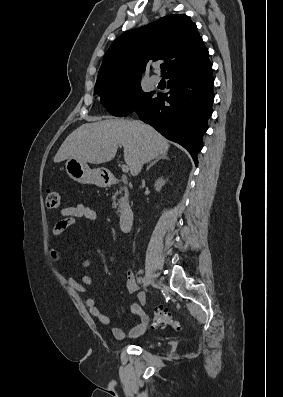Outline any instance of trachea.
Instances as JSON below:
<instances>
[{"label":"trachea","mask_w":283,"mask_h":397,"mask_svg":"<svg viewBox=\"0 0 283 397\" xmlns=\"http://www.w3.org/2000/svg\"><path fill=\"white\" fill-rule=\"evenodd\" d=\"M160 68L163 69V68H164V65H161Z\"/></svg>","instance_id":"trachea-1"}]
</instances>
